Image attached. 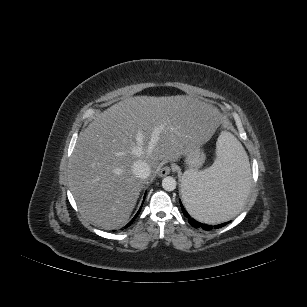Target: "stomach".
Returning <instances> with one entry per match:
<instances>
[{"label": "stomach", "mask_w": 307, "mask_h": 307, "mask_svg": "<svg viewBox=\"0 0 307 307\" xmlns=\"http://www.w3.org/2000/svg\"><path fill=\"white\" fill-rule=\"evenodd\" d=\"M184 155L185 162L191 169L199 168L205 161V155L201 150L200 143L198 142H191L186 147Z\"/></svg>", "instance_id": "0dacf381"}]
</instances>
